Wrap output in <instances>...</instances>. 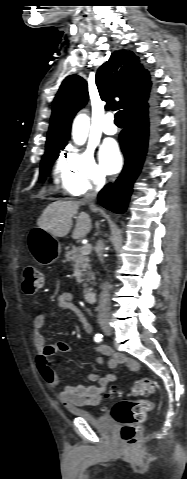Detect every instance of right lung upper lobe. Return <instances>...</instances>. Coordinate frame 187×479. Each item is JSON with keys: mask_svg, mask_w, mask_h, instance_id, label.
I'll return each instance as SVG.
<instances>
[{"mask_svg": "<svg viewBox=\"0 0 187 479\" xmlns=\"http://www.w3.org/2000/svg\"><path fill=\"white\" fill-rule=\"evenodd\" d=\"M96 85L106 109L130 110L145 107L154 95L151 76L131 51L120 50L98 69ZM114 97L120 101L115 102ZM88 100L87 82L78 75L68 76L53 101L46 151L63 149L69 139L71 122Z\"/></svg>", "mask_w": 187, "mask_h": 479, "instance_id": "obj_1", "label": "right lung upper lobe"}]
</instances>
